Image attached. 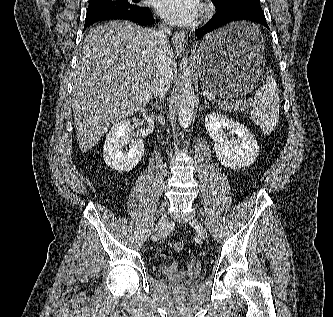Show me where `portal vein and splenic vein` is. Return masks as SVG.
<instances>
[{
  "label": "portal vein and splenic vein",
  "mask_w": 333,
  "mask_h": 317,
  "mask_svg": "<svg viewBox=\"0 0 333 317\" xmlns=\"http://www.w3.org/2000/svg\"><path fill=\"white\" fill-rule=\"evenodd\" d=\"M238 104L246 105V104H247V101H246V100H241V101H238ZM253 105H254V104H253Z\"/></svg>",
  "instance_id": "1"
}]
</instances>
